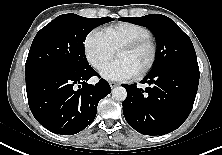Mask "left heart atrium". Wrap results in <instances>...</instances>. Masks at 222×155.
<instances>
[{
    "label": "left heart atrium",
    "instance_id": "left-heart-atrium-1",
    "mask_svg": "<svg viewBox=\"0 0 222 155\" xmlns=\"http://www.w3.org/2000/svg\"><path fill=\"white\" fill-rule=\"evenodd\" d=\"M101 74L104 78L112 81H126L135 76L133 70L120 59L105 66Z\"/></svg>",
    "mask_w": 222,
    "mask_h": 155
}]
</instances>
